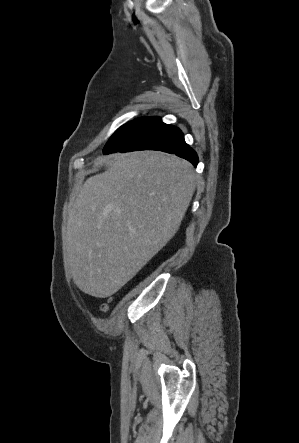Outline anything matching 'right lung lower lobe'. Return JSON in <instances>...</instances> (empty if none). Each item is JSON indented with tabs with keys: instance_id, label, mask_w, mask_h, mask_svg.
Listing matches in <instances>:
<instances>
[{
	"instance_id": "right-lung-lower-lobe-1",
	"label": "right lung lower lobe",
	"mask_w": 299,
	"mask_h": 443,
	"mask_svg": "<svg viewBox=\"0 0 299 443\" xmlns=\"http://www.w3.org/2000/svg\"><path fill=\"white\" fill-rule=\"evenodd\" d=\"M137 150L163 151L185 158L194 166L198 163L197 154L185 143L180 129L163 123L159 117L135 119L103 153Z\"/></svg>"
}]
</instances>
